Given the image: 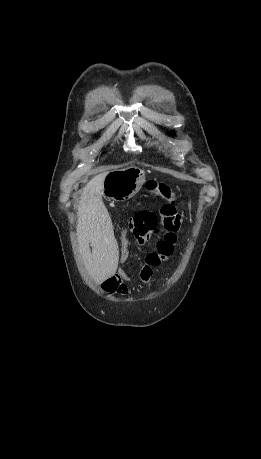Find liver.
Segmentation results:
<instances>
[{
	"instance_id": "6515ba94",
	"label": "liver",
	"mask_w": 261,
	"mask_h": 459,
	"mask_svg": "<svg viewBox=\"0 0 261 459\" xmlns=\"http://www.w3.org/2000/svg\"><path fill=\"white\" fill-rule=\"evenodd\" d=\"M108 173L102 172L86 184L77 212L76 231L80 253L88 273L98 284L116 273L119 261L111 219L102 201L104 180Z\"/></svg>"
}]
</instances>
